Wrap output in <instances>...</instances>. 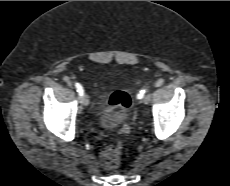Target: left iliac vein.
Listing matches in <instances>:
<instances>
[{
  "label": "left iliac vein",
  "mask_w": 230,
  "mask_h": 186,
  "mask_svg": "<svg viewBox=\"0 0 230 186\" xmlns=\"http://www.w3.org/2000/svg\"><path fill=\"white\" fill-rule=\"evenodd\" d=\"M150 100H151V97H150L149 95H147V96H145V97L143 98L142 102H143L144 104H148V103L150 102Z\"/></svg>",
  "instance_id": "obj_1"
}]
</instances>
